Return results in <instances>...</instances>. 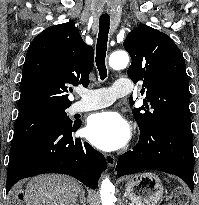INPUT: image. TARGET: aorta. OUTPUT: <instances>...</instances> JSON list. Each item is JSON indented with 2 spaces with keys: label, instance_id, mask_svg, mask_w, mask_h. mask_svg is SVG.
I'll use <instances>...</instances> for the list:
<instances>
[{
  "label": "aorta",
  "instance_id": "762f6f07",
  "mask_svg": "<svg viewBox=\"0 0 199 205\" xmlns=\"http://www.w3.org/2000/svg\"><path fill=\"white\" fill-rule=\"evenodd\" d=\"M129 56L125 51H116L112 53L109 57V65L115 70L123 69L128 65ZM113 189V184L110 182L109 178H105L101 184L100 197L102 205H114L113 195L111 190Z\"/></svg>",
  "mask_w": 199,
  "mask_h": 205
}]
</instances>
